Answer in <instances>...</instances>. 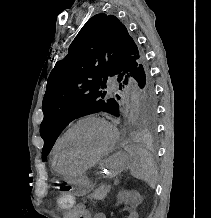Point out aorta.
Returning <instances> with one entry per match:
<instances>
[{
	"instance_id": "762f6f07",
	"label": "aorta",
	"mask_w": 211,
	"mask_h": 218,
	"mask_svg": "<svg viewBox=\"0 0 211 218\" xmlns=\"http://www.w3.org/2000/svg\"><path fill=\"white\" fill-rule=\"evenodd\" d=\"M128 91L130 97V112L128 116V123L134 126L139 114V89L137 83L133 78H129Z\"/></svg>"
}]
</instances>
